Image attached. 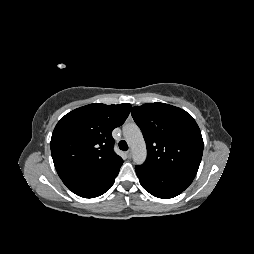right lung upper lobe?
I'll return each mask as SVG.
<instances>
[{"mask_svg":"<svg viewBox=\"0 0 254 254\" xmlns=\"http://www.w3.org/2000/svg\"><path fill=\"white\" fill-rule=\"evenodd\" d=\"M130 109L128 103H95L77 108L60 119L53 131L50 148L62 180L123 163L113 150L112 131L124 123Z\"/></svg>","mask_w":254,"mask_h":254,"instance_id":"right-lung-upper-lobe-1","label":"right lung upper lobe"}]
</instances>
